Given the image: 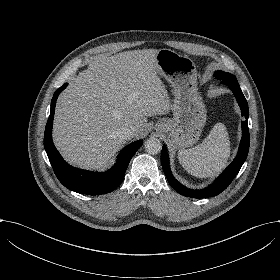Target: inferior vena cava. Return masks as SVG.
Listing matches in <instances>:
<instances>
[{
    "label": "inferior vena cava",
    "mask_w": 280,
    "mask_h": 280,
    "mask_svg": "<svg viewBox=\"0 0 280 280\" xmlns=\"http://www.w3.org/2000/svg\"><path fill=\"white\" fill-rule=\"evenodd\" d=\"M118 137L121 140H130L134 137V133L128 127H122L118 132Z\"/></svg>",
    "instance_id": "obj_1"
}]
</instances>
